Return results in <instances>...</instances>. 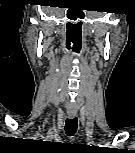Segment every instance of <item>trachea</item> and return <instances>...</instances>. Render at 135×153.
I'll list each match as a JSON object with an SVG mask.
<instances>
[{
	"mask_svg": "<svg viewBox=\"0 0 135 153\" xmlns=\"http://www.w3.org/2000/svg\"><path fill=\"white\" fill-rule=\"evenodd\" d=\"M78 126L77 118L67 119L65 123V132L68 136H73L76 133Z\"/></svg>",
	"mask_w": 135,
	"mask_h": 153,
	"instance_id": "trachea-1",
	"label": "trachea"
}]
</instances>
